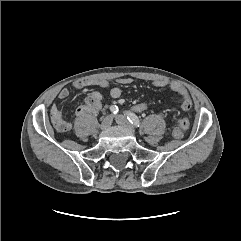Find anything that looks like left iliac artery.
<instances>
[{
    "mask_svg": "<svg viewBox=\"0 0 241 241\" xmlns=\"http://www.w3.org/2000/svg\"><path fill=\"white\" fill-rule=\"evenodd\" d=\"M125 114L132 125H134L135 127L140 126V120L134 113L126 111Z\"/></svg>",
    "mask_w": 241,
    "mask_h": 241,
    "instance_id": "obj_1",
    "label": "left iliac artery"
}]
</instances>
